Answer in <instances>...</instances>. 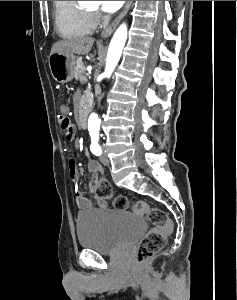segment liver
Instances as JSON below:
<instances>
[{"label":"liver","instance_id":"6515ba94","mask_svg":"<svg viewBox=\"0 0 237 300\" xmlns=\"http://www.w3.org/2000/svg\"><path fill=\"white\" fill-rule=\"evenodd\" d=\"M93 37H83L75 41H58L51 49L53 53H70V55H87L93 47Z\"/></svg>","mask_w":237,"mask_h":300}]
</instances>
